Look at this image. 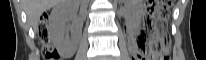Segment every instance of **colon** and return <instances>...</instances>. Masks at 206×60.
<instances>
[{
    "label": "colon",
    "instance_id": "colon-1",
    "mask_svg": "<svg viewBox=\"0 0 206 60\" xmlns=\"http://www.w3.org/2000/svg\"><path fill=\"white\" fill-rule=\"evenodd\" d=\"M170 7L171 1L169 0L156 1L151 6L152 11L157 12L160 18L155 23H149L148 31L150 38L148 41L141 42L139 51L134 55L133 60H169V46L165 36L166 25L164 19ZM47 21V16H42L38 27V39L42 56L45 60H57L60 56L57 50L51 45Z\"/></svg>",
    "mask_w": 206,
    "mask_h": 60
}]
</instances>
